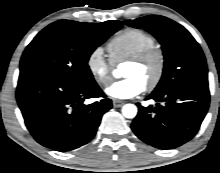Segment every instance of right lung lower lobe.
<instances>
[{"instance_id":"98d812e1","label":"right lung lower lobe","mask_w":220,"mask_h":173,"mask_svg":"<svg viewBox=\"0 0 220 173\" xmlns=\"http://www.w3.org/2000/svg\"><path fill=\"white\" fill-rule=\"evenodd\" d=\"M17 102L25 124L41 145L70 151L88 143L97 131L102 115L112 108L94 81L72 84L43 74L19 76ZM103 97L85 105V99Z\"/></svg>"}]
</instances>
